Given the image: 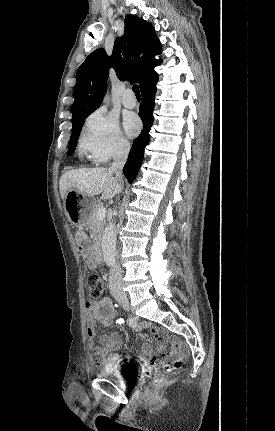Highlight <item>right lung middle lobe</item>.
I'll list each match as a JSON object with an SVG mask.
<instances>
[{"instance_id":"right-lung-middle-lobe-1","label":"right lung middle lobe","mask_w":275,"mask_h":431,"mask_svg":"<svg viewBox=\"0 0 275 431\" xmlns=\"http://www.w3.org/2000/svg\"><path fill=\"white\" fill-rule=\"evenodd\" d=\"M83 123H84V120H82L81 122L72 126V135L70 138L68 154H67L68 156L71 155L76 148L77 140L79 138V134H80Z\"/></svg>"}]
</instances>
